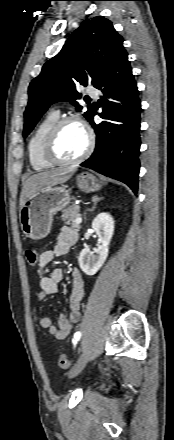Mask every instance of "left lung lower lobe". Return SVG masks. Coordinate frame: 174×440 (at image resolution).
Listing matches in <instances>:
<instances>
[{
  "mask_svg": "<svg viewBox=\"0 0 174 440\" xmlns=\"http://www.w3.org/2000/svg\"><path fill=\"white\" fill-rule=\"evenodd\" d=\"M96 88L102 92L99 116L104 121L94 123L93 109L88 121L96 133V148L80 165L122 181L137 193L141 104L125 49L110 63Z\"/></svg>",
  "mask_w": 174,
  "mask_h": 440,
  "instance_id": "left-lung-lower-lobe-1",
  "label": "left lung lower lobe"
}]
</instances>
